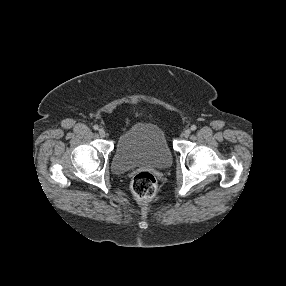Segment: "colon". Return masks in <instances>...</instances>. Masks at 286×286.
<instances>
[{
  "label": "colon",
  "instance_id": "1",
  "mask_svg": "<svg viewBox=\"0 0 286 286\" xmlns=\"http://www.w3.org/2000/svg\"><path fill=\"white\" fill-rule=\"evenodd\" d=\"M131 189L135 197L141 200H150L157 190V181L153 174L147 171L140 172L134 176Z\"/></svg>",
  "mask_w": 286,
  "mask_h": 286
}]
</instances>
